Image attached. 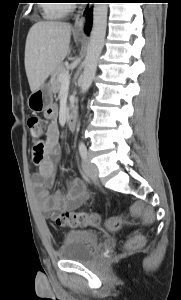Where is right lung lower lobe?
I'll use <instances>...</instances> for the list:
<instances>
[{
    "label": "right lung lower lobe",
    "instance_id": "98d812e1",
    "mask_svg": "<svg viewBox=\"0 0 181 300\" xmlns=\"http://www.w3.org/2000/svg\"><path fill=\"white\" fill-rule=\"evenodd\" d=\"M88 23H89V25H90V23H91V13H88Z\"/></svg>",
    "mask_w": 181,
    "mask_h": 300
}]
</instances>
